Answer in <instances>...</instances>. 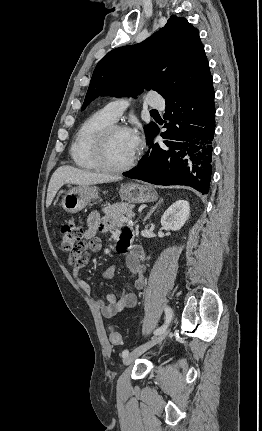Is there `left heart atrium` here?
<instances>
[{
    "instance_id": "39dd6f15",
    "label": "left heart atrium",
    "mask_w": 262,
    "mask_h": 431,
    "mask_svg": "<svg viewBox=\"0 0 262 431\" xmlns=\"http://www.w3.org/2000/svg\"><path fill=\"white\" fill-rule=\"evenodd\" d=\"M127 132L129 134V139H130L131 145L133 146V148L135 150H137L140 147L141 142H142V137H141L139 130L138 129H131V130H128Z\"/></svg>"
}]
</instances>
